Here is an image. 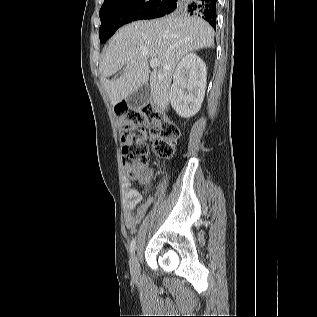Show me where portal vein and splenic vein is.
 I'll list each match as a JSON object with an SVG mask.
<instances>
[{"mask_svg": "<svg viewBox=\"0 0 317 317\" xmlns=\"http://www.w3.org/2000/svg\"><path fill=\"white\" fill-rule=\"evenodd\" d=\"M159 64H160V62H159L158 59H151V60H150V67H151L152 69L158 67Z\"/></svg>", "mask_w": 317, "mask_h": 317, "instance_id": "18ae733b", "label": "portal vein and splenic vein"}]
</instances>
